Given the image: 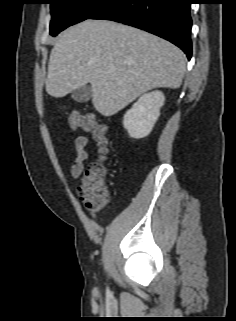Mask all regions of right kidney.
<instances>
[{
	"mask_svg": "<svg viewBox=\"0 0 236 321\" xmlns=\"http://www.w3.org/2000/svg\"><path fill=\"white\" fill-rule=\"evenodd\" d=\"M165 96L161 91L142 95L123 117V126L134 139L146 137L160 116Z\"/></svg>",
	"mask_w": 236,
	"mask_h": 321,
	"instance_id": "right-kidney-1",
	"label": "right kidney"
}]
</instances>
